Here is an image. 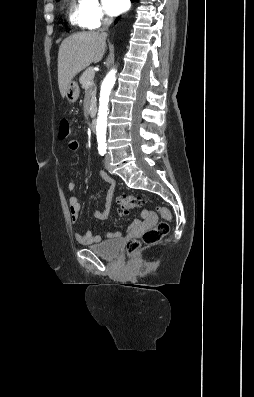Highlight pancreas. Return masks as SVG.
Listing matches in <instances>:
<instances>
[{
	"label": "pancreas",
	"mask_w": 254,
	"mask_h": 397,
	"mask_svg": "<svg viewBox=\"0 0 254 397\" xmlns=\"http://www.w3.org/2000/svg\"><path fill=\"white\" fill-rule=\"evenodd\" d=\"M94 75L95 73L92 67H89L83 72L79 79L82 88L85 90L87 98H90L93 108L96 105V88L94 87L93 83Z\"/></svg>",
	"instance_id": "pancreas-1"
}]
</instances>
